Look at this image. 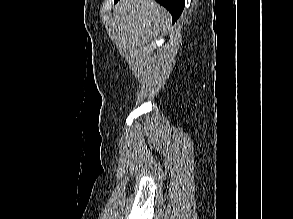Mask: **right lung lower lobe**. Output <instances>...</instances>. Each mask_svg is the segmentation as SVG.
<instances>
[{"label": "right lung lower lobe", "mask_w": 293, "mask_h": 219, "mask_svg": "<svg viewBox=\"0 0 293 219\" xmlns=\"http://www.w3.org/2000/svg\"><path fill=\"white\" fill-rule=\"evenodd\" d=\"M118 0H115L117 2ZM161 5H163L172 15V21L175 22L181 15L185 0H156Z\"/></svg>", "instance_id": "obj_1"}]
</instances>
